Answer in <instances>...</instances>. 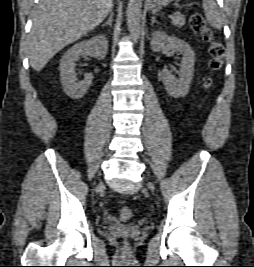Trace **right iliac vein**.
Returning a JSON list of instances; mask_svg holds the SVG:
<instances>
[{
  "instance_id": "right-iliac-vein-1",
  "label": "right iliac vein",
  "mask_w": 254,
  "mask_h": 267,
  "mask_svg": "<svg viewBox=\"0 0 254 267\" xmlns=\"http://www.w3.org/2000/svg\"><path fill=\"white\" fill-rule=\"evenodd\" d=\"M103 188H104V184H102V183L99 184V186H98V192L101 191Z\"/></svg>"
}]
</instances>
